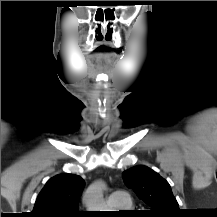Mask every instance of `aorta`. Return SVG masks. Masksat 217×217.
Here are the masks:
<instances>
[{"instance_id":"obj_1","label":"aorta","mask_w":217,"mask_h":217,"mask_svg":"<svg viewBox=\"0 0 217 217\" xmlns=\"http://www.w3.org/2000/svg\"><path fill=\"white\" fill-rule=\"evenodd\" d=\"M104 183L97 181L91 184L83 196V202L88 211H108L103 198Z\"/></svg>"}]
</instances>
